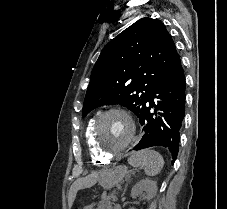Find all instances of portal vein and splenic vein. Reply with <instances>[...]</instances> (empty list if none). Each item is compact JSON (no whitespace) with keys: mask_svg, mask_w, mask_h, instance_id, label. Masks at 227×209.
I'll return each mask as SVG.
<instances>
[{"mask_svg":"<svg viewBox=\"0 0 227 209\" xmlns=\"http://www.w3.org/2000/svg\"><path fill=\"white\" fill-rule=\"evenodd\" d=\"M110 198H111L110 195L106 194L105 197H102L101 199L106 201L107 199H110Z\"/></svg>","mask_w":227,"mask_h":209,"instance_id":"portal-vein-and-splenic-vein-1","label":"portal vein and splenic vein"}]
</instances>
